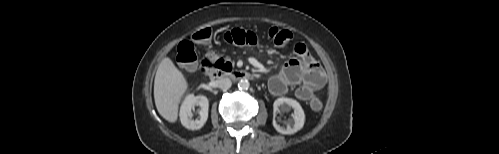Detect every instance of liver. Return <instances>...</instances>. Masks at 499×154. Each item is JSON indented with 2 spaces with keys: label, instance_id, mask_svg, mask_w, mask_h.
Here are the masks:
<instances>
[{
  "label": "liver",
  "instance_id": "1",
  "mask_svg": "<svg viewBox=\"0 0 499 154\" xmlns=\"http://www.w3.org/2000/svg\"><path fill=\"white\" fill-rule=\"evenodd\" d=\"M188 90L183 73L170 58L160 63L154 80V100L159 114L170 123L178 119V106Z\"/></svg>",
  "mask_w": 499,
  "mask_h": 154
}]
</instances>
